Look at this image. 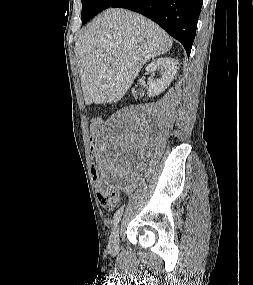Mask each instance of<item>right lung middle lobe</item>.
<instances>
[{
  "label": "right lung middle lobe",
  "mask_w": 253,
  "mask_h": 285,
  "mask_svg": "<svg viewBox=\"0 0 253 285\" xmlns=\"http://www.w3.org/2000/svg\"><path fill=\"white\" fill-rule=\"evenodd\" d=\"M82 1V12L81 18L82 23L88 22L98 12L111 7L117 0H81Z\"/></svg>",
  "instance_id": "dd1d6c3e"
}]
</instances>
